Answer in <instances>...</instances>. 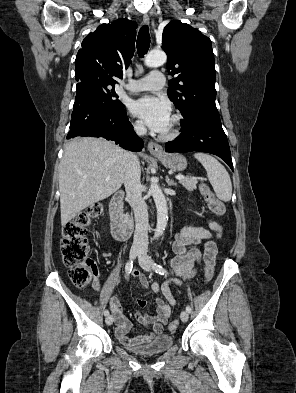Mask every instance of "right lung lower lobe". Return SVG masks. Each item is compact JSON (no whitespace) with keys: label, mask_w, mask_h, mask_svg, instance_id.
Here are the masks:
<instances>
[{"label":"right lung lower lobe","mask_w":296,"mask_h":393,"mask_svg":"<svg viewBox=\"0 0 296 393\" xmlns=\"http://www.w3.org/2000/svg\"><path fill=\"white\" fill-rule=\"evenodd\" d=\"M73 108L67 139L103 137L131 151L142 149L143 142L133 131L125 109H112L88 85L77 84Z\"/></svg>","instance_id":"right-lung-lower-lobe-1"}]
</instances>
